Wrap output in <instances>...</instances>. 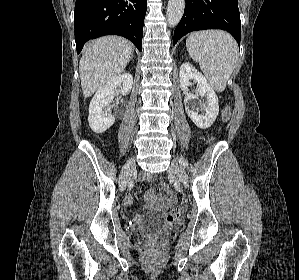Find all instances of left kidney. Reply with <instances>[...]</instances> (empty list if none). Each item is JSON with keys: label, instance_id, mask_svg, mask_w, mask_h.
I'll use <instances>...</instances> for the list:
<instances>
[{"label": "left kidney", "instance_id": "left-kidney-1", "mask_svg": "<svg viewBox=\"0 0 299 280\" xmlns=\"http://www.w3.org/2000/svg\"><path fill=\"white\" fill-rule=\"evenodd\" d=\"M179 76L180 87L185 93L184 104L186 113L199 128H209L219 113L218 97L215 91L206 78L190 63H183L181 65ZM190 79L198 84L197 94L189 92L188 86L190 85ZM198 96H207V107L205 108V113L203 115L198 114V112L195 111V100L198 99Z\"/></svg>", "mask_w": 299, "mask_h": 280}]
</instances>
